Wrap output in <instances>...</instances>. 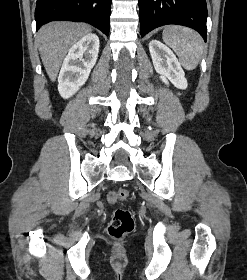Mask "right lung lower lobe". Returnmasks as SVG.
I'll return each instance as SVG.
<instances>
[{
  "instance_id": "98d812e1",
  "label": "right lung lower lobe",
  "mask_w": 247,
  "mask_h": 280,
  "mask_svg": "<svg viewBox=\"0 0 247 280\" xmlns=\"http://www.w3.org/2000/svg\"><path fill=\"white\" fill-rule=\"evenodd\" d=\"M111 0H37L35 20L37 30L53 20L91 23L109 35Z\"/></svg>"
}]
</instances>
